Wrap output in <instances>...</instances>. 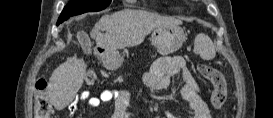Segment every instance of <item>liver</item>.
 <instances>
[{"instance_id":"1","label":"liver","mask_w":273,"mask_h":118,"mask_svg":"<svg viewBox=\"0 0 273 118\" xmlns=\"http://www.w3.org/2000/svg\"><path fill=\"white\" fill-rule=\"evenodd\" d=\"M181 23L180 20L144 10L126 9L102 16L90 35L96 40L98 47L113 53L118 49L141 44L157 27ZM71 38L69 34L67 41L70 42ZM86 67L83 59L74 56L67 58L53 71L48 84V95L57 110L64 109L73 101L83 84Z\"/></svg>"}]
</instances>
